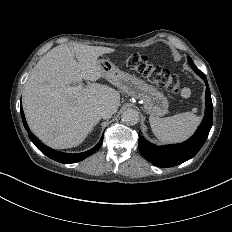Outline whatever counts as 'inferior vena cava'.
I'll use <instances>...</instances> for the list:
<instances>
[{"instance_id":"obj_1","label":"inferior vena cava","mask_w":232,"mask_h":232,"mask_svg":"<svg viewBox=\"0 0 232 232\" xmlns=\"http://www.w3.org/2000/svg\"><path fill=\"white\" fill-rule=\"evenodd\" d=\"M97 114L100 118L108 119L112 116V114H114V111L109 107L100 106L97 109Z\"/></svg>"}]
</instances>
